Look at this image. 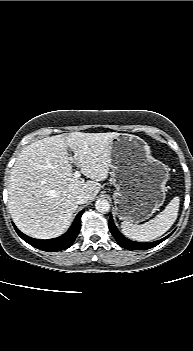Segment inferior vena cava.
<instances>
[{"label":"inferior vena cava","instance_id":"obj_1","mask_svg":"<svg viewBox=\"0 0 193 351\" xmlns=\"http://www.w3.org/2000/svg\"><path fill=\"white\" fill-rule=\"evenodd\" d=\"M89 200V196L86 192H81L76 196L77 204H84Z\"/></svg>","mask_w":193,"mask_h":351}]
</instances>
